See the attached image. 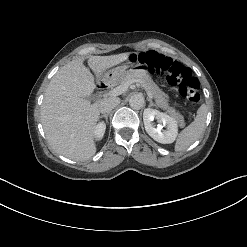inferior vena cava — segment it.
Returning a JSON list of instances; mask_svg holds the SVG:
<instances>
[{
	"instance_id": "inferior-vena-cava-1",
	"label": "inferior vena cava",
	"mask_w": 247,
	"mask_h": 247,
	"mask_svg": "<svg viewBox=\"0 0 247 247\" xmlns=\"http://www.w3.org/2000/svg\"><path fill=\"white\" fill-rule=\"evenodd\" d=\"M120 103V99L117 97L104 98L99 102V110L101 113H109Z\"/></svg>"
}]
</instances>
